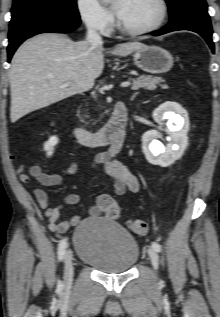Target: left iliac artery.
<instances>
[{"label": "left iliac artery", "instance_id": "1", "mask_svg": "<svg viewBox=\"0 0 220 317\" xmlns=\"http://www.w3.org/2000/svg\"><path fill=\"white\" fill-rule=\"evenodd\" d=\"M151 245H152V248H153L156 252H160V251H161V245L158 244L157 242H153Z\"/></svg>", "mask_w": 220, "mask_h": 317}]
</instances>
